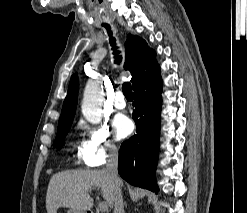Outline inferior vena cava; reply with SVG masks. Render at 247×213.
<instances>
[{
	"instance_id": "inferior-vena-cava-1",
	"label": "inferior vena cava",
	"mask_w": 247,
	"mask_h": 213,
	"mask_svg": "<svg viewBox=\"0 0 247 213\" xmlns=\"http://www.w3.org/2000/svg\"><path fill=\"white\" fill-rule=\"evenodd\" d=\"M118 150L115 146L108 147L106 172L109 174L110 179L114 183V212L113 213H124L123 209V198L121 192L122 182L118 176Z\"/></svg>"
}]
</instances>
